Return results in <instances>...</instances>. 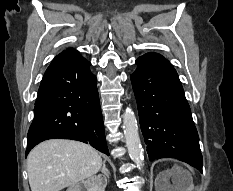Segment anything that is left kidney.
I'll list each match as a JSON object with an SVG mask.
<instances>
[{"mask_svg": "<svg viewBox=\"0 0 233 191\" xmlns=\"http://www.w3.org/2000/svg\"><path fill=\"white\" fill-rule=\"evenodd\" d=\"M172 176V173L171 172H169V171H167L166 173H165V185H166V187H167V191H176V190H172L173 188H180L179 186H180V184L179 183H177L176 185L177 186H175V187H173V186H171L169 183H168V179L170 178Z\"/></svg>", "mask_w": 233, "mask_h": 191, "instance_id": "5707ae66", "label": "left kidney"}]
</instances>
